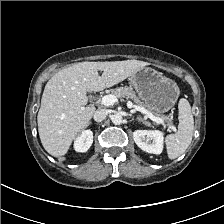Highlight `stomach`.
<instances>
[{
	"instance_id": "obj_1",
	"label": "stomach",
	"mask_w": 224,
	"mask_h": 224,
	"mask_svg": "<svg viewBox=\"0 0 224 224\" xmlns=\"http://www.w3.org/2000/svg\"><path fill=\"white\" fill-rule=\"evenodd\" d=\"M129 80L139 98L159 114L169 111L180 94L178 85L172 79L150 67L140 68Z\"/></svg>"
}]
</instances>
